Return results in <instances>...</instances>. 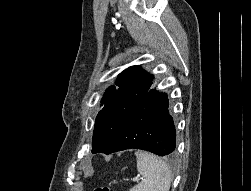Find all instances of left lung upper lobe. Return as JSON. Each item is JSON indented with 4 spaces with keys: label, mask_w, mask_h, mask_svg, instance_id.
I'll return each mask as SVG.
<instances>
[{
    "label": "left lung upper lobe",
    "mask_w": 251,
    "mask_h": 191,
    "mask_svg": "<svg viewBox=\"0 0 251 191\" xmlns=\"http://www.w3.org/2000/svg\"><path fill=\"white\" fill-rule=\"evenodd\" d=\"M154 76L132 66L119 74L101 100L94 127L92 152L107 154L140 99L150 90Z\"/></svg>",
    "instance_id": "obj_1"
}]
</instances>
